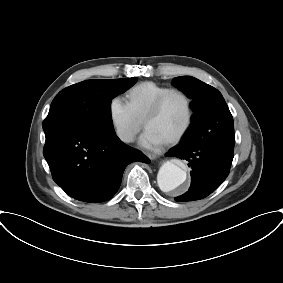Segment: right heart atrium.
Returning <instances> with one entry per match:
<instances>
[{"label":"right heart atrium","mask_w":283,"mask_h":283,"mask_svg":"<svg viewBox=\"0 0 283 283\" xmlns=\"http://www.w3.org/2000/svg\"><path fill=\"white\" fill-rule=\"evenodd\" d=\"M108 115L117 137L125 143L132 142L140 131L142 122L134 116L128 104L119 97L112 98Z\"/></svg>","instance_id":"1"}]
</instances>
